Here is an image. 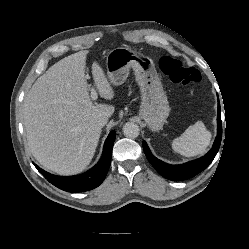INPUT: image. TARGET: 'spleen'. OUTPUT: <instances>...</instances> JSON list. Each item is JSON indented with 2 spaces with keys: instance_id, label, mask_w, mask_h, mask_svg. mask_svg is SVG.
Listing matches in <instances>:
<instances>
[{
  "instance_id": "3e777b00",
  "label": "spleen",
  "mask_w": 249,
  "mask_h": 249,
  "mask_svg": "<svg viewBox=\"0 0 249 249\" xmlns=\"http://www.w3.org/2000/svg\"><path fill=\"white\" fill-rule=\"evenodd\" d=\"M210 141L211 133L202 121H197L173 140L172 148L183 156L193 157L205 153Z\"/></svg>"
}]
</instances>
